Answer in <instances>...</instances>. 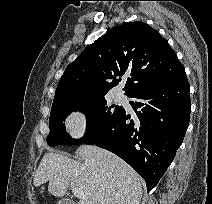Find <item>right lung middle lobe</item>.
<instances>
[{
  "mask_svg": "<svg viewBox=\"0 0 212 204\" xmlns=\"http://www.w3.org/2000/svg\"><path fill=\"white\" fill-rule=\"evenodd\" d=\"M119 105L108 106L104 96L95 97L81 102L63 105L51 109L49 128L50 134L47 143L50 146L76 145L84 143L88 138L100 132L105 126L111 123L122 111ZM74 110H81L88 115L87 133L82 139H72L66 133L64 119Z\"/></svg>",
  "mask_w": 212,
  "mask_h": 204,
  "instance_id": "dd1d6c3e",
  "label": "right lung middle lobe"
}]
</instances>
